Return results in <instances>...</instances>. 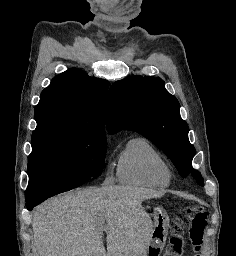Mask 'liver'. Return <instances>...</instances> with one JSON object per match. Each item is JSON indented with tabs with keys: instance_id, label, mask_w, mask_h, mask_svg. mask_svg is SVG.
<instances>
[{
	"instance_id": "obj_1",
	"label": "liver",
	"mask_w": 236,
	"mask_h": 256,
	"mask_svg": "<svg viewBox=\"0 0 236 256\" xmlns=\"http://www.w3.org/2000/svg\"><path fill=\"white\" fill-rule=\"evenodd\" d=\"M163 194L102 186L51 198L34 212V246L39 256H145L149 220L141 202Z\"/></svg>"
}]
</instances>
